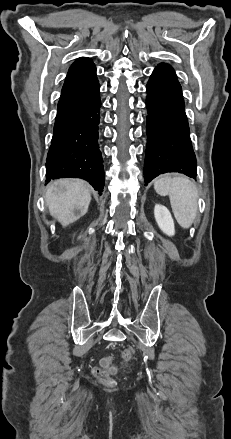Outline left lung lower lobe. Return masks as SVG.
Segmentation results:
<instances>
[{"instance_id": "0a47b994", "label": "left lung lower lobe", "mask_w": 231, "mask_h": 439, "mask_svg": "<svg viewBox=\"0 0 231 439\" xmlns=\"http://www.w3.org/2000/svg\"><path fill=\"white\" fill-rule=\"evenodd\" d=\"M146 89L145 185L166 172H179L195 179L196 157L189 136L181 85L173 68L166 63L159 64Z\"/></svg>"}]
</instances>
